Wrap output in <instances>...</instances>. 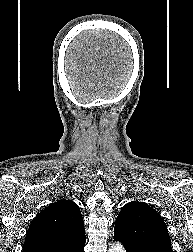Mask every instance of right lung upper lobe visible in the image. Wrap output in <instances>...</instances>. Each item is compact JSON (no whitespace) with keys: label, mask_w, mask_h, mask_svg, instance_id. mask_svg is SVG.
Returning <instances> with one entry per match:
<instances>
[{"label":"right lung upper lobe","mask_w":193,"mask_h":252,"mask_svg":"<svg viewBox=\"0 0 193 252\" xmlns=\"http://www.w3.org/2000/svg\"><path fill=\"white\" fill-rule=\"evenodd\" d=\"M85 238L78 206L69 200H58L34 218L22 252H60Z\"/></svg>","instance_id":"1"}]
</instances>
